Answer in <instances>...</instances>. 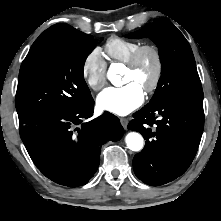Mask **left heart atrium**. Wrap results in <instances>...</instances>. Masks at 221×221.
Returning <instances> with one entry per match:
<instances>
[{
  "label": "left heart atrium",
  "instance_id": "1",
  "mask_svg": "<svg viewBox=\"0 0 221 221\" xmlns=\"http://www.w3.org/2000/svg\"><path fill=\"white\" fill-rule=\"evenodd\" d=\"M143 101V88L136 82H129L120 87H108L97 97V105L101 110L120 116L131 113Z\"/></svg>",
  "mask_w": 221,
  "mask_h": 221
}]
</instances>
